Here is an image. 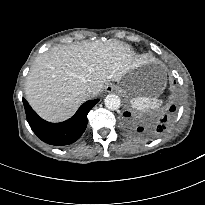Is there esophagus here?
I'll use <instances>...</instances> for the list:
<instances>
[{"instance_id": "34e87169", "label": "esophagus", "mask_w": 205, "mask_h": 205, "mask_svg": "<svg viewBox=\"0 0 205 205\" xmlns=\"http://www.w3.org/2000/svg\"><path fill=\"white\" fill-rule=\"evenodd\" d=\"M114 85L113 84H107L106 86H105V90L107 91V92H112L113 90H114Z\"/></svg>"}]
</instances>
